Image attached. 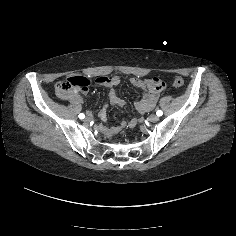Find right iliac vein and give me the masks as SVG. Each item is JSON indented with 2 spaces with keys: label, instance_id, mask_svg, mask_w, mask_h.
<instances>
[{
  "label": "right iliac vein",
  "instance_id": "63e3f726",
  "mask_svg": "<svg viewBox=\"0 0 236 236\" xmlns=\"http://www.w3.org/2000/svg\"><path fill=\"white\" fill-rule=\"evenodd\" d=\"M92 120V115L89 113L86 118L84 119L85 122H90Z\"/></svg>",
  "mask_w": 236,
  "mask_h": 236
}]
</instances>
